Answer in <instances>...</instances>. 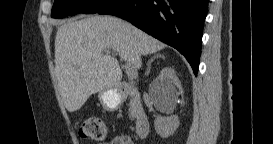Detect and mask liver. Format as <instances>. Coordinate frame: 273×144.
<instances>
[{
	"label": "liver",
	"instance_id": "liver-1",
	"mask_svg": "<svg viewBox=\"0 0 273 144\" xmlns=\"http://www.w3.org/2000/svg\"><path fill=\"white\" fill-rule=\"evenodd\" d=\"M165 47L158 39L112 16H92L62 24L55 38V75L66 109L77 111L92 94L119 86L122 71L109 49L139 69L142 55Z\"/></svg>",
	"mask_w": 273,
	"mask_h": 144
}]
</instances>
